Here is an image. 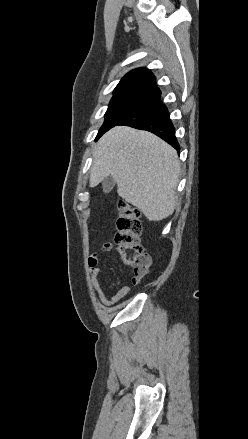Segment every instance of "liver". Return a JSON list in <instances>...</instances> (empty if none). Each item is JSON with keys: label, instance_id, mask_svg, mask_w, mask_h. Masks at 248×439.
<instances>
[{"label": "liver", "instance_id": "1", "mask_svg": "<svg viewBox=\"0 0 248 439\" xmlns=\"http://www.w3.org/2000/svg\"><path fill=\"white\" fill-rule=\"evenodd\" d=\"M179 172L177 152L165 141L147 131L116 126L97 143L90 186L112 176L122 199L149 221H161L175 209Z\"/></svg>", "mask_w": 248, "mask_h": 439}]
</instances>
